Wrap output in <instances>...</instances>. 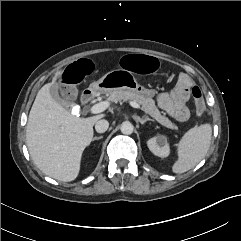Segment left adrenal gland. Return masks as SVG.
I'll return each instance as SVG.
<instances>
[{
  "label": "left adrenal gland",
  "mask_w": 241,
  "mask_h": 241,
  "mask_svg": "<svg viewBox=\"0 0 241 241\" xmlns=\"http://www.w3.org/2000/svg\"><path fill=\"white\" fill-rule=\"evenodd\" d=\"M137 121L140 122L142 125L147 122V121H154L153 119H150L147 116H143L142 118H140L139 116L136 117Z\"/></svg>",
  "instance_id": "left-adrenal-gland-1"
}]
</instances>
